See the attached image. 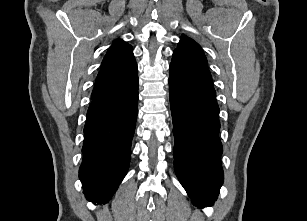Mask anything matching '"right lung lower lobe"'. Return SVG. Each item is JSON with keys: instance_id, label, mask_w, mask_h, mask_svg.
I'll use <instances>...</instances> for the list:
<instances>
[{"instance_id": "obj_1", "label": "right lung lower lobe", "mask_w": 307, "mask_h": 221, "mask_svg": "<svg viewBox=\"0 0 307 221\" xmlns=\"http://www.w3.org/2000/svg\"><path fill=\"white\" fill-rule=\"evenodd\" d=\"M138 77L126 87L91 97L79 178L94 204L109 201L127 173L138 108Z\"/></svg>"}]
</instances>
